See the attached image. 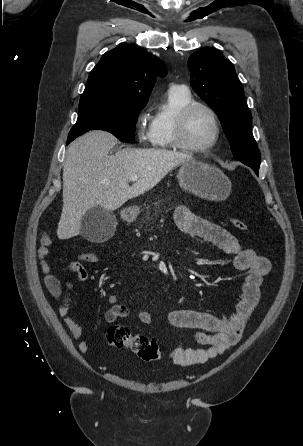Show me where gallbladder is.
Wrapping results in <instances>:
<instances>
[{"mask_svg": "<svg viewBox=\"0 0 303 446\" xmlns=\"http://www.w3.org/2000/svg\"><path fill=\"white\" fill-rule=\"evenodd\" d=\"M117 222L114 214L100 206L90 209L81 221V235L89 241L101 242L109 239Z\"/></svg>", "mask_w": 303, "mask_h": 446, "instance_id": "bac80fb5", "label": "gallbladder"}]
</instances>
